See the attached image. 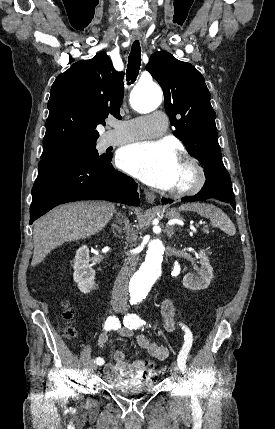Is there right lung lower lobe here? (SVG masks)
<instances>
[{"mask_svg": "<svg viewBox=\"0 0 275 429\" xmlns=\"http://www.w3.org/2000/svg\"><path fill=\"white\" fill-rule=\"evenodd\" d=\"M111 159L40 172L32 188L30 224L55 206L72 201L97 199L138 206L137 184L115 170Z\"/></svg>", "mask_w": 275, "mask_h": 429, "instance_id": "obj_1", "label": "right lung lower lobe"}]
</instances>
